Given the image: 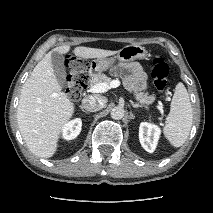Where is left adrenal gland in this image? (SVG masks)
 <instances>
[{"instance_id": "1", "label": "left adrenal gland", "mask_w": 213, "mask_h": 213, "mask_svg": "<svg viewBox=\"0 0 213 213\" xmlns=\"http://www.w3.org/2000/svg\"><path fill=\"white\" fill-rule=\"evenodd\" d=\"M131 102V105L133 108H139V107H142V105L140 104H137V103H134L133 101H130Z\"/></svg>"}]
</instances>
